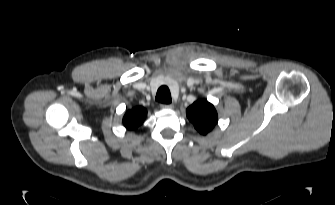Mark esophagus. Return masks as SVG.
Here are the masks:
<instances>
[{
	"label": "esophagus",
	"mask_w": 335,
	"mask_h": 205,
	"mask_svg": "<svg viewBox=\"0 0 335 205\" xmlns=\"http://www.w3.org/2000/svg\"><path fill=\"white\" fill-rule=\"evenodd\" d=\"M160 107L162 109H172L174 106L173 104H161Z\"/></svg>",
	"instance_id": "esophagus-1"
}]
</instances>
